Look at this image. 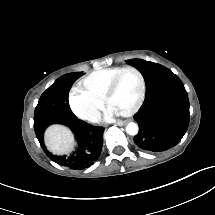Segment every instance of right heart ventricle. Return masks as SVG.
Returning a JSON list of instances; mask_svg holds the SVG:
<instances>
[{
  "label": "right heart ventricle",
  "mask_w": 215,
  "mask_h": 215,
  "mask_svg": "<svg viewBox=\"0 0 215 215\" xmlns=\"http://www.w3.org/2000/svg\"><path fill=\"white\" fill-rule=\"evenodd\" d=\"M119 67H111L104 70L93 71L81 80V91L90 97L100 96L114 80V71Z\"/></svg>",
  "instance_id": "1"
}]
</instances>
